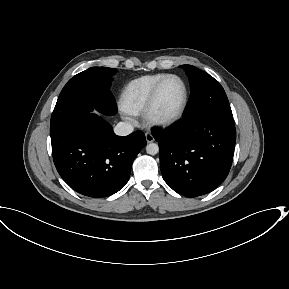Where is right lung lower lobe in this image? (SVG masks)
Wrapping results in <instances>:
<instances>
[{
    "instance_id": "98d812e1",
    "label": "right lung lower lobe",
    "mask_w": 289,
    "mask_h": 289,
    "mask_svg": "<svg viewBox=\"0 0 289 289\" xmlns=\"http://www.w3.org/2000/svg\"><path fill=\"white\" fill-rule=\"evenodd\" d=\"M51 143L62 179L82 195L102 198L128 182L133 160L146 139L141 131L117 136L100 116L86 111L51 135Z\"/></svg>"
}]
</instances>
